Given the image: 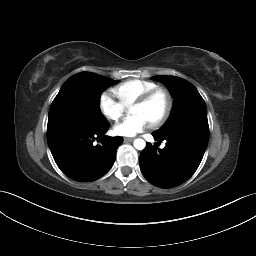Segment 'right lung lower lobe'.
I'll list each match as a JSON object with an SVG mask.
<instances>
[{
  "label": "right lung lower lobe",
  "mask_w": 256,
  "mask_h": 256,
  "mask_svg": "<svg viewBox=\"0 0 256 256\" xmlns=\"http://www.w3.org/2000/svg\"><path fill=\"white\" fill-rule=\"evenodd\" d=\"M109 125L97 129H83L80 126L49 125L48 145L60 170L78 182L94 181L105 175L113 166L116 150L122 144V137H107L104 134ZM101 145H94L100 140Z\"/></svg>",
  "instance_id": "1"
}]
</instances>
